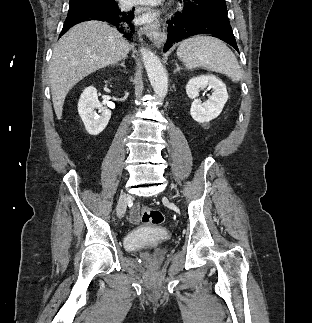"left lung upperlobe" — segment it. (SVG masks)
Listing matches in <instances>:
<instances>
[{"label": "left lung upper lobe", "mask_w": 312, "mask_h": 323, "mask_svg": "<svg viewBox=\"0 0 312 323\" xmlns=\"http://www.w3.org/2000/svg\"><path fill=\"white\" fill-rule=\"evenodd\" d=\"M185 1V3H187V4H191L194 0H184Z\"/></svg>", "instance_id": "5c2ea615"}]
</instances>
